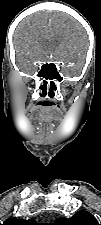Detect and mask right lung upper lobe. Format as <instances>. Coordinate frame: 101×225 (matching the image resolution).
<instances>
[{
	"label": "right lung upper lobe",
	"mask_w": 101,
	"mask_h": 225,
	"mask_svg": "<svg viewBox=\"0 0 101 225\" xmlns=\"http://www.w3.org/2000/svg\"><path fill=\"white\" fill-rule=\"evenodd\" d=\"M3 225H39L36 224V221L34 219H16V218H8Z\"/></svg>",
	"instance_id": "cb5924a9"
}]
</instances>
